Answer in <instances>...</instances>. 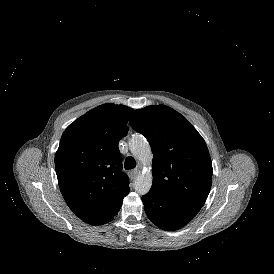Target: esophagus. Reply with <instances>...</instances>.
Segmentation results:
<instances>
[{
    "label": "esophagus",
    "mask_w": 274,
    "mask_h": 274,
    "mask_svg": "<svg viewBox=\"0 0 274 274\" xmlns=\"http://www.w3.org/2000/svg\"><path fill=\"white\" fill-rule=\"evenodd\" d=\"M128 175L131 180H134L138 175V169H133V170L129 171Z\"/></svg>",
    "instance_id": "esophagus-1"
}]
</instances>
